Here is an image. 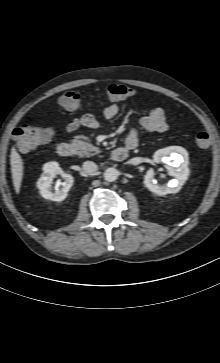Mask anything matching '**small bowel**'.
<instances>
[{
  "label": "small bowel",
  "instance_id": "obj_1",
  "mask_svg": "<svg viewBox=\"0 0 220 363\" xmlns=\"http://www.w3.org/2000/svg\"><path fill=\"white\" fill-rule=\"evenodd\" d=\"M119 106L116 103L108 105L103 111V118L111 120L117 116ZM100 124V117L94 112H86L80 118L72 120L67 126V132H73L79 127L95 128ZM144 129L149 132L164 133L168 129L165 112L160 107H155L144 116L138 127H134L128 133L125 145L129 149H134L140 142V131Z\"/></svg>",
  "mask_w": 220,
  "mask_h": 363
}]
</instances>
